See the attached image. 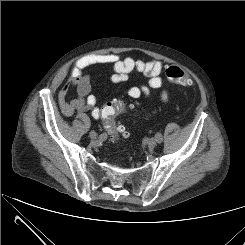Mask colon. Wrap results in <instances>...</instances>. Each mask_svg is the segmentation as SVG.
I'll return each mask as SVG.
<instances>
[{"instance_id": "colon-1", "label": "colon", "mask_w": 245, "mask_h": 245, "mask_svg": "<svg viewBox=\"0 0 245 245\" xmlns=\"http://www.w3.org/2000/svg\"><path fill=\"white\" fill-rule=\"evenodd\" d=\"M168 80L180 85H190L191 79L188 74L177 66H170L165 71ZM127 108L124 100L116 99L108 102L102 109V118L109 133L117 138L128 137V132L122 124L115 121V116Z\"/></svg>"}]
</instances>
